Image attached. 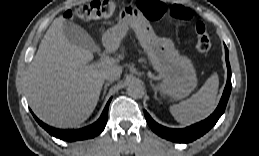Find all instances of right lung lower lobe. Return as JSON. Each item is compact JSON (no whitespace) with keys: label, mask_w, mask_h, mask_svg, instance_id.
Instances as JSON below:
<instances>
[{"label":"right lung lower lobe","mask_w":259,"mask_h":156,"mask_svg":"<svg viewBox=\"0 0 259 156\" xmlns=\"http://www.w3.org/2000/svg\"><path fill=\"white\" fill-rule=\"evenodd\" d=\"M111 99L108 101L106 104L100 118L98 121L93 123L90 126L78 129V130H61V129H56L53 127H50L46 124H44L42 121H40L35 115L34 118L35 120L39 123L40 126H42L49 134H51L54 137H57L61 140L65 141H77V140H83V139H89L97 136L100 134L103 129L106 126L107 119H108V108L110 104Z\"/></svg>","instance_id":"obj_1"}]
</instances>
